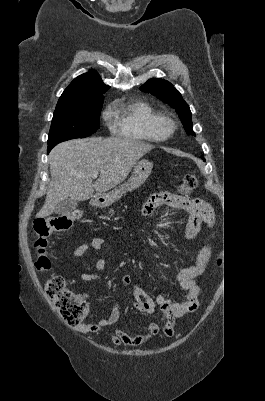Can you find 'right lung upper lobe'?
I'll return each instance as SVG.
<instances>
[{
    "mask_svg": "<svg viewBox=\"0 0 265 401\" xmlns=\"http://www.w3.org/2000/svg\"><path fill=\"white\" fill-rule=\"evenodd\" d=\"M109 89L99 76L91 70L88 73L76 77L64 90L57 106L68 104L75 101L103 98L102 94Z\"/></svg>",
    "mask_w": 265,
    "mask_h": 401,
    "instance_id": "right-lung-upper-lobe-1",
    "label": "right lung upper lobe"
}]
</instances>
